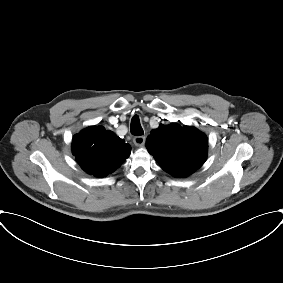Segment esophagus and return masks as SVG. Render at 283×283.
Returning <instances> with one entry per match:
<instances>
[{"label":"esophagus","instance_id":"esophagus-1","mask_svg":"<svg viewBox=\"0 0 283 283\" xmlns=\"http://www.w3.org/2000/svg\"><path fill=\"white\" fill-rule=\"evenodd\" d=\"M133 143L135 144V146L141 147L145 143V137L144 136H135L133 138Z\"/></svg>","mask_w":283,"mask_h":283}]
</instances>
